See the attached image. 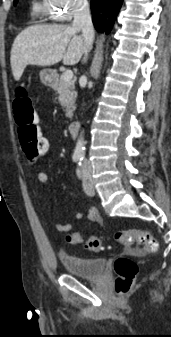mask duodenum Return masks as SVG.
<instances>
[{
	"label": "duodenum",
	"instance_id": "410a0bca",
	"mask_svg": "<svg viewBox=\"0 0 171 337\" xmlns=\"http://www.w3.org/2000/svg\"><path fill=\"white\" fill-rule=\"evenodd\" d=\"M80 127H81V125H80L79 122H77V121L71 122L68 125L69 134L72 135V136H77L78 133H79Z\"/></svg>",
	"mask_w": 171,
	"mask_h": 337
}]
</instances>
